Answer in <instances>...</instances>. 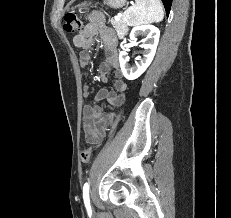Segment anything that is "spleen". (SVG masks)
<instances>
[{"mask_svg":"<svg viewBox=\"0 0 231 218\" xmlns=\"http://www.w3.org/2000/svg\"><path fill=\"white\" fill-rule=\"evenodd\" d=\"M163 18L164 11L160 0H135V5L123 14V20L129 26L160 22Z\"/></svg>","mask_w":231,"mask_h":218,"instance_id":"3e777b00","label":"spleen"}]
</instances>
